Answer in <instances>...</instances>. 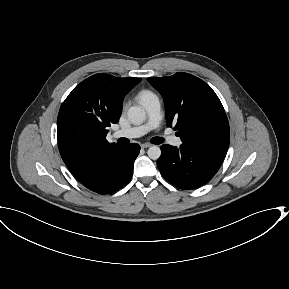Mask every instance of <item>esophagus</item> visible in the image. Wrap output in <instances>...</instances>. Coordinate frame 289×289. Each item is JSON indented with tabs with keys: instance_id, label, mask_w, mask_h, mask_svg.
<instances>
[{
	"instance_id": "obj_1",
	"label": "esophagus",
	"mask_w": 289,
	"mask_h": 289,
	"mask_svg": "<svg viewBox=\"0 0 289 289\" xmlns=\"http://www.w3.org/2000/svg\"><path fill=\"white\" fill-rule=\"evenodd\" d=\"M151 146V144L149 143H144L141 145L142 148H149Z\"/></svg>"
}]
</instances>
